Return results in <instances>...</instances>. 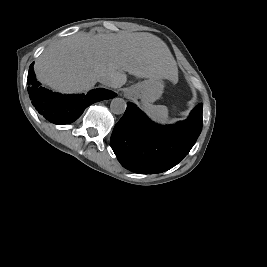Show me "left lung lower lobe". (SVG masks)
I'll list each match as a JSON object with an SVG mask.
<instances>
[{"instance_id":"obj_1","label":"left lung lower lobe","mask_w":267,"mask_h":267,"mask_svg":"<svg viewBox=\"0 0 267 267\" xmlns=\"http://www.w3.org/2000/svg\"><path fill=\"white\" fill-rule=\"evenodd\" d=\"M202 104L187 120L162 126L151 122L128 102L123 117L114 127L111 147L123 167L132 172L153 174L178 164L193 147L202 129Z\"/></svg>"}]
</instances>
